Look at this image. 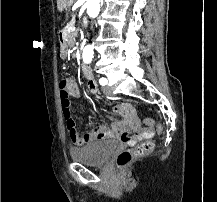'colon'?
<instances>
[{"label": "colon", "mask_w": 217, "mask_h": 202, "mask_svg": "<svg viewBox=\"0 0 217 202\" xmlns=\"http://www.w3.org/2000/svg\"><path fill=\"white\" fill-rule=\"evenodd\" d=\"M71 86L72 83L68 80H62L60 83V91L58 95L60 96V102L63 112V117L66 125L67 131H76L75 123L71 111ZM145 126H151L153 119L144 118L143 119ZM158 134H163L162 124H157ZM153 148V143L151 138H144V143H140L134 149H126L122 151L116 158L117 165L122 167L129 164L134 158L142 157L151 152Z\"/></svg>", "instance_id": "obj_1"}]
</instances>
